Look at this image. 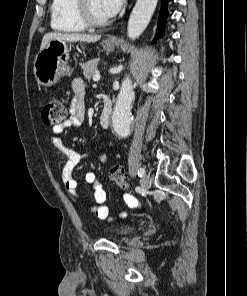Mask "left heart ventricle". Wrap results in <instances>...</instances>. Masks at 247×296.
<instances>
[{"mask_svg":"<svg viewBox=\"0 0 247 296\" xmlns=\"http://www.w3.org/2000/svg\"><path fill=\"white\" fill-rule=\"evenodd\" d=\"M90 16L95 20H106L107 17L103 14L100 6V0H88L87 3Z\"/></svg>","mask_w":247,"mask_h":296,"instance_id":"b2bd125f","label":"left heart ventricle"}]
</instances>
